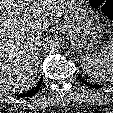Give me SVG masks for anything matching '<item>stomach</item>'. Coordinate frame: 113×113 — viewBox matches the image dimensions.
<instances>
[{
	"label": "stomach",
	"mask_w": 113,
	"mask_h": 113,
	"mask_svg": "<svg viewBox=\"0 0 113 113\" xmlns=\"http://www.w3.org/2000/svg\"><path fill=\"white\" fill-rule=\"evenodd\" d=\"M68 11L59 29L73 42L79 53H88L98 44L103 24L87 0H67Z\"/></svg>",
	"instance_id": "stomach-1"
}]
</instances>
